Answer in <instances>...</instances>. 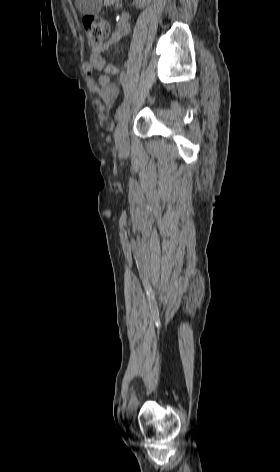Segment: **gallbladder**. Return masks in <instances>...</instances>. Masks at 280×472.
<instances>
[{
  "label": "gallbladder",
  "instance_id": "1",
  "mask_svg": "<svg viewBox=\"0 0 280 472\" xmlns=\"http://www.w3.org/2000/svg\"><path fill=\"white\" fill-rule=\"evenodd\" d=\"M76 6L82 15H95L101 9L102 0H76Z\"/></svg>",
  "mask_w": 280,
  "mask_h": 472
}]
</instances>
